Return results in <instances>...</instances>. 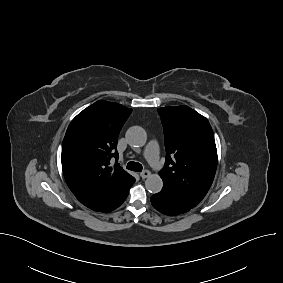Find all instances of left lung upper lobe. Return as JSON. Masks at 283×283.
Segmentation results:
<instances>
[{"label": "left lung upper lobe", "mask_w": 283, "mask_h": 283, "mask_svg": "<svg viewBox=\"0 0 283 283\" xmlns=\"http://www.w3.org/2000/svg\"><path fill=\"white\" fill-rule=\"evenodd\" d=\"M165 136L163 184L196 206L212 185L217 149L209 121L188 106L159 108Z\"/></svg>", "instance_id": "obj_1"}]
</instances>
